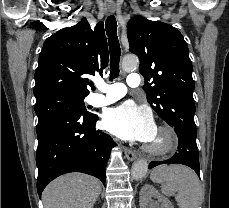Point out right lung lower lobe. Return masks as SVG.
Listing matches in <instances>:
<instances>
[{
    "label": "right lung lower lobe",
    "mask_w": 229,
    "mask_h": 208,
    "mask_svg": "<svg viewBox=\"0 0 229 208\" xmlns=\"http://www.w3.org/2000/svg\"><path fill=\"white\" fill-rule=\"evenodd\" d=\"M98 116L93 113L62 114L37 129V191L56 177L69 172H82L99 178L105 184V167L112 138L95 129Z\"/></svg>",
    "instance_id": "obj_1"
}]
</instances>
